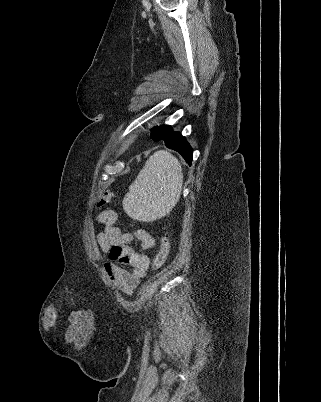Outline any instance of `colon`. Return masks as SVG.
<instances>
[{
  "label": "colon",
  "instance_id": "colon-1",
  "mask_svg": "<svg viewBox=\"0 0 321 402\" xmlns=\"http://www.w3.org/2000/svg\"><path fill=\"white\" fill-rule=\"evenodd\" d=\"M111 193L105 192L99 200V205L103 206L110 202ZM170 254V242L167 236H162L160 239L158 250L152 260V268L157 270L164 266ZM55 321V312L52 309L46 311L43 317V323L45 326L50 327Z\"/></svg>",
  "mask_w": 321,
  "mask_h": 402
}]
</instances>
